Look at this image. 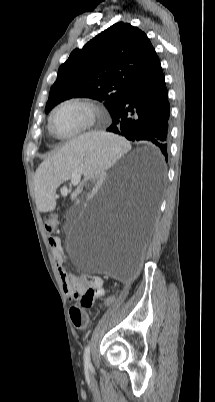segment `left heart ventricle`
I'll return each mask as SVG.
<instances>
[{
    "label": "left heart ventricle",
    "instance_id": "obj_1",
    "mask_svg": "<svg viewBox=\"0 0 215 402\" xmlns=\"http://www.w3.org/2000/svg\"><path fill=\"white\" fill-rule=\"evenodd\" d=\"M88 120V112L77 105L60 108L54 115L52 125L56 133L67 135L82 128Z\"/></svg>",
    "mask_w": 215,
    "mask_h": 402
}]
</instances>
